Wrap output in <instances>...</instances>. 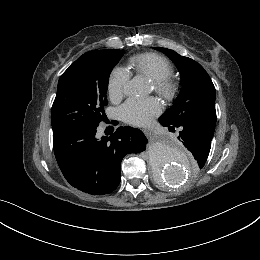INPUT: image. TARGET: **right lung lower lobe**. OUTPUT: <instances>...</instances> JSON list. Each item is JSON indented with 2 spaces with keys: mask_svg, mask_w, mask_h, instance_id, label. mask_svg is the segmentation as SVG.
Returning <instances> with one entry per match:
<instances>
[{
  "mask_svg": "<svg viewBox=\"0 0 260 260\" xmlns=\"http://www.w3.org/2000/svg\"><path fill=\"white\" fill-rule=\"evenodd\" d=\"M97 127L72 128L53 134L54 153L66 180L94 195L109 194L121 180V161L128 153L145 150L139 129L119 127L110 137L96 138Z\"/></svg>",
  "mask_w": 260,
  "mask_h": 260,
  "instance_id": "1",
  "label": "right lung lower lobe"
}]
</instances>
